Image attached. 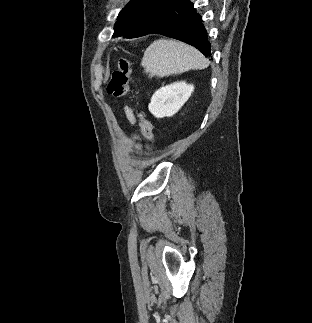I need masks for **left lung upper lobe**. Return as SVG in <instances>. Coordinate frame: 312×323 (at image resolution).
Wrapping results in <instances>:
<instances>
[{
  "label": "left lung upper lobe",
  "mask_w": 312,
  "mask_h": 323,
  "mask_svg": "<svg viewBox=\"0 0 312 323\" xmlns=\"http://www.w3.org/2000/svg\"><path fill=\"white\" fill-rule=\"evenodd\" d=\"M173 0H130L119 13L113 37L146 35L153 25L170 12Z\"/></svg>",
  "instance_id": "left-lung-upper-lobe-1"
}]
</instances>
